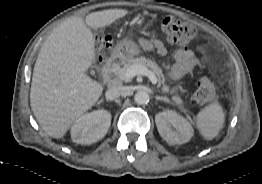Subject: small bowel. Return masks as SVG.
Wrapping results in <instances>:
<instances>
[{"label":"small bowel","instance_id":"c3829d8e","mask_svg":"<svg viewBox=\"0 0 262 184\" xmlns=\"http://www.w3.org/2000/svg\"><path fill=\"white\" fill-rule=\"evenodd\" d=\"M139 44L142 48L153 50L160 56L167 54L165 45L158 39L148 38L140 39ZM174 62L166 64L170 69V73L174 78H181L190 75L196 68L199 67V60L188 49H178L173 53Z\"/></svg>","mask_w":262,"mask_h":184}]
</instances>
